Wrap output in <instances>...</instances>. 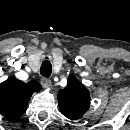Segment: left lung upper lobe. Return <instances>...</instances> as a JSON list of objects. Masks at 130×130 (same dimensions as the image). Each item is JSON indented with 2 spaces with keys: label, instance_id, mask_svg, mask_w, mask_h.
Returning <instances> with one entry per match:
<instances>
[{
  "label": "left lung upper lobe",
  "instance_id": "obj_1",
  "mask_svg": "<svg viewBox=\"0 0 130 130\" xmlns=\"http://www.w3.org/2000/svg\"><path fill=\"white\" fill-rule=\"evenodd\" d=\"M58 103L60 111L65 117L77 120L89 109L90 93L74 75H70L67 86L59 90Z\"/></svg>",
  "mask_w": 130,
  "mask_h": 130
}]
</instances>
